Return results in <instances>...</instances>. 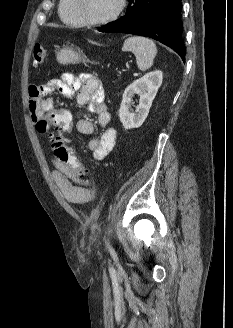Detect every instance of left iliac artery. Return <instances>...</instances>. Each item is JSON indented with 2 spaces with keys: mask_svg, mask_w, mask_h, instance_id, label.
<instances>
[{
  "mask_svg": "<svg viewBox=\"0 0 233 328\" xmlns=\"http://www.w3.org/2000/svg\"><path fill=\"white\" fill-rule=\"evenodd\" d=\"M106 245L108 248H111L109 241H106Z\"/></svg>",
  "mask_w": 233,
  "mask_h": 328,
  "instance_id": "1",
  "label": "left iliac artery"
}]
</instances>
